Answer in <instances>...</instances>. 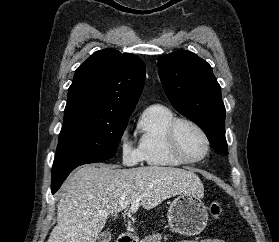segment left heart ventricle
I'll return each instance as SVG.
<instances>
[{"label": "left heart ventricle", "instance_id": "left-heart-ventricle-1", "mask_svg": "<svg viewBox=\"0 0 279 242\" xmlns=\"http://www.w3.org/2000/svg\"><path fill=\"white\" fill-rule=\"evenodd\" d=\"M180 148L190 158L201 157L205 152V142L193 127L181 125L178 131Z\"/></svg>", "mask_w": 279, "mask_h": 242}]
</instances>
